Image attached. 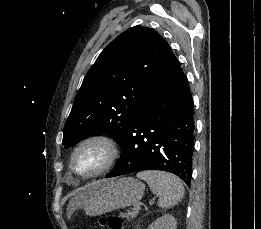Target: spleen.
I'll return each instance as SVG.
<instances>
[{"label": "spleen", "instance_id": "spleen-1", "mask_svg": "<svg viewBox=\"0 0 261 229\" xmlns=\"http://www.w3.org/2000/svg\"><path fill=\"white\" fill-rule=\"evenodd\" d=\"M136 177L146 181L152 193L159 195L158 207L161 209H171L182 201L185 189L179 177L166 171H141Z\"/></svg>", "mask_w": 261, "mask_h": 229}]
</instances>
